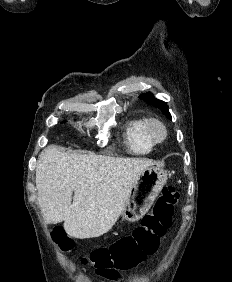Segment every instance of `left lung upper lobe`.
Returning a JSON list of instances; mask_svg holds the SVG:
<instances>
[{
  "instance_id": "1",
  "label": "left lung upper lobe",
  "mask_w": 232,
  "mask_h": 282,
  "mask_svg": "<svg viewBox=\"0 0 232 282\" xmlns=\"http://www.w3.org/2000/svg\"><path fill=\"white\" fill-rule=\"evenodd\" d=\"M140 98L143 99L148 104L161 109L162 113L166 115L168 119L172 120L171 115L168 111V105L166 102L155 99L150 92L141 95Z\"/></svg>"
}]
</instances>
